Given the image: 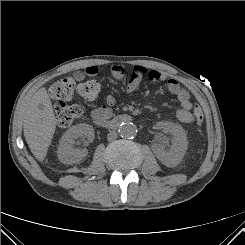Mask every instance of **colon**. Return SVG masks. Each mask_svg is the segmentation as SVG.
<instances>
[{"label": "colon", "instance_id": "colon-1", "mask_svg": "<svg viewBox=\"0 0 245 245\" xmlns=\"http://www.w3.org/2000/svg\"><path fill=\"white\" fill-rule=\"evenodd\" d=\"M75 91L86 100L95 99L101 92V83L95 79H89L76 86V83L71 77H64L55 82L50 94L56 100L54 109L58 125L66 127L77 120L81 114L82 109L75 104H69L68 101L72 98ZM194 116L199 125L203 124V113L199 106L194 108Z\"/></svg>", "mask_w": 245, "mask_h": 245}]
</instances>
